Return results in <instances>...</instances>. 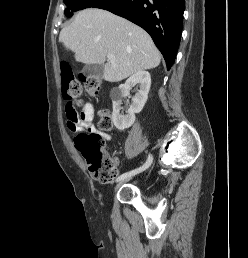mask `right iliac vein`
<instances>
[{"label": "right iliac vein", "instance_id": "right-iliac-vein-1", "mask_svg": "<svg viewBox=\"0 0 248 258\" xmlns=\"http://www.w3.org/2000/svg\"><path fill=\"white\" fill-rule=\"evenodd\" d=\"M131 179H132V177H128V178H125V179H123V180H120V181L117 183V185H116V187H115V190H117L122 184L128 182V181L131 180Z\"/></svg>", "mask_w": 248, "mask_h": 258}]
</instances>
